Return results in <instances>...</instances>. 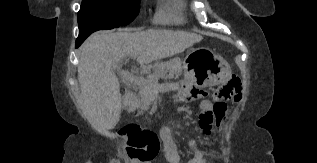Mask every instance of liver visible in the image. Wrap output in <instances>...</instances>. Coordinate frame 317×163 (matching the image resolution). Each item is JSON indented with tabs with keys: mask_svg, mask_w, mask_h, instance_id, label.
<instances>
[{
	"mask_svg": "<svg viewBox=\"0 0 317 163\" xmlns=\"http://www.w3.org/2000/svg\"><path fill=\"white\" fill-rule=\"evenodd\" d=\"M203 39L186 31L149 29L140 32L101 31L80 48L78 80L81 109L97 130L113 129L119 121L122 97L113 67L127 57L141 65L183 52Z\"/></svg>",
	"mask_w": 317,
	"mask_h": 163,
	"instance_id": "obj_1",
	"label": "liver"
}]
</instances>
